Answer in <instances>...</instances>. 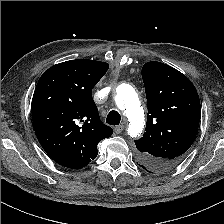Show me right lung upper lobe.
Here are the masks:
<instances>
[{"mask_svg":"<svg viewBox=\"0 0 224 224\" xmlns=\"http://www.w3.org/2000/svg\"><path fill=\"white\" fill-rule=\"evenodd\" d=\"M105 62L77 59L50 67L40 77L31 111L44 151L58 164L79 169L98 154L97 145L112 135L100 121L92 89L107 72Z\"/></svg>","mask_w":224,"mask_h":224,"instance_id":"obj_1","label":"right lung upper lobe"}]
</instances>
